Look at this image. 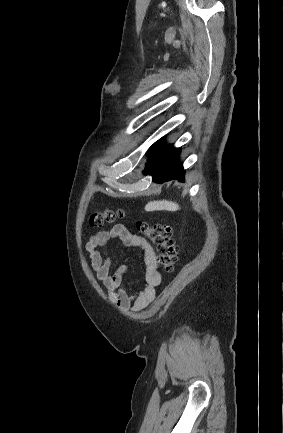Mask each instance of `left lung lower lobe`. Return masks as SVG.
<instances>
[{"label":"left lung lower lobe","instance_id":"0a47b994","mask_svg":"<svg viewBox=\"0 0 283 433\" xmlns=\"http://www.w3.org/2000/svg\"><path fill=\"white\" fill-rule=\"evenodd\" d=\"M180 149L163 143V138L155 142L148 150L149 161L144 170L153 179L163 183L172 179L184 181L185 171L179 163Z\"/></svg>","mask_w":283,"mask_h":433}]
</instances>
